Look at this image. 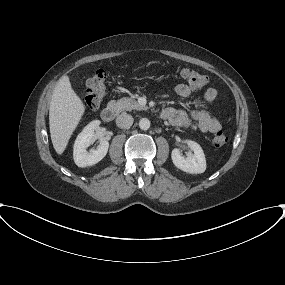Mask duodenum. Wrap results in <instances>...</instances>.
Returning <instances> with one entry per match:
<instances>
[{
  "label": "duodenum",
  "mask_w": 285,
  "mask_h": 285,
  "mask_svg": "<svg viewBox=\"0 0 285 285\" xmlns=\"http://www.w3.org/2000/svg\"><path fill=\"white\" fill-rule=\"evenodd\" d=\"M118 113V108L114 104H109L106 107H104L101 111V118L105 122L112 121Z\"/></svg>",
  "instance_id": "1"
}]
</instances>
